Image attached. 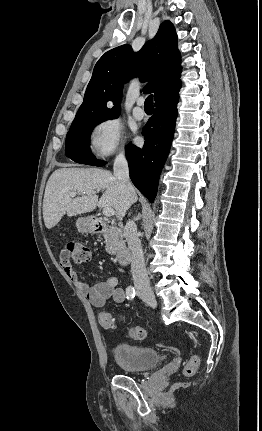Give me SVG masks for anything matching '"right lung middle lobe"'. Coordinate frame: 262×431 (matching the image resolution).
Returning <instances> with one entry per match:
<instances>
[{"label": "right lung middle lobe", "mask_w": 262, "mask_h": 431, "mask_svg": "<svg viewBox=\"0 0 262 431\" xmlns=\"http://www.w3.org/2000/svg\"><path fill=\"white\" fill-rule=\"evenodd\" d=\"M117 117L74 119L66 136V156L81 164L95 166L105 165V162L97 160L91 153L89 136L96 125Z\"/></svg>", "instance_id": "right-lung-middle-lobe-1"}]
</instances>
